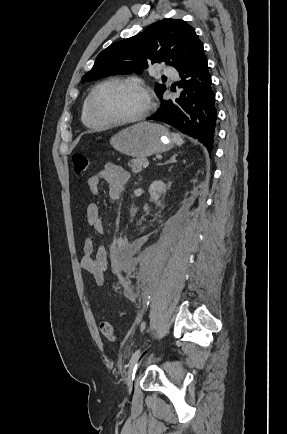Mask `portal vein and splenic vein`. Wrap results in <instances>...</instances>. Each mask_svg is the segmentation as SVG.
Masks as SVG:
<instances>
[{"mask_svg": "<svg viewBox=\"0 0 287 434\" xmlns=\"http://www.w3.org/2000/svg\"><path fill=\"white\" fill-rule=\"evenodd\" d=\"M148 165H149V161H148V160H145V161L143 162V167L146 168V167H148Z\"/></svg>", "mask_w": 287, "mask_h": 434, "instance_id": "portal-vein-and-splenic-vein-1", "label": "portal vein and splenic vein"}]
</instances>
